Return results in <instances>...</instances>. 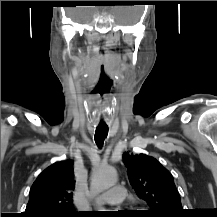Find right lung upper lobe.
<instances>
[{
  "instance_id": "right-lung-upper-lobe-1",
  "label": "right lung upper lobe",
  "mask_w": 217,
  "mask_h": 217,
  "mask_svg": "<svg viewBox=\"0 0 217 217\" xmlns=\"http://www.w3.org/2000/svg\"><path fill=\"white\" fill-rule=\"evenodd\" d=\"M75 180L73 161L65 160L49 166L33 183L24 217H60L78 215L73 207Z\"/></svg>"
}]
</instances>
